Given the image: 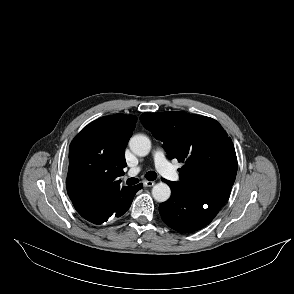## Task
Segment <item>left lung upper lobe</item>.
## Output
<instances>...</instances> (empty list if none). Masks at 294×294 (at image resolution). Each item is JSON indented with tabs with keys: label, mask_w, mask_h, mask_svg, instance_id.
Masks as SVG:
<instances>
[{
	"label": "left lung upper lobe",
	"mask_w": 294,
	"mask_h": 294,
	"mask_svg": "<svg viewBox=\"0 0 294 294\" xmlns=\"http://www.w3.org/2000/svg\"><path fill=\"white\" fill-rule=\"evenodd\" d=\"M143 126L164 144L168 158L184 163L178 171L184 190L231 189L237 158L230 137L221 125L206 116L186 112L143 113Z\"/></svg>",
	"instance_id": "obj_1"
}]
</instances>
